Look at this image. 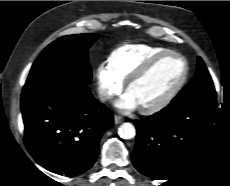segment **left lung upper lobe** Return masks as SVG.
<instances>
[{
    "mask_svg": "<svg viewBox=\"0 0 230 186\" xmlns=\"http://www.w3.org/2000/svg\"><path fill=\"white\" fill-rule=\"evenodd\" d=\"M208 93L215 94L216 91L203 60L198 57V66L195 77L172 101L186 100L194 96Z\"/></svg>",
    "mask_w": 230,
    "mask_h": 186,
    "instance_id": "1",
    "label": "left lung upper lobe"
}]
</instances>
